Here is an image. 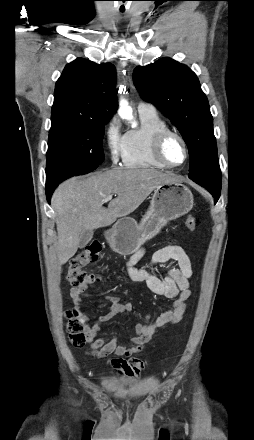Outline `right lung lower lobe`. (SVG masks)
I'll return each instance as SVG.
<instances>
[{
    "instance_id": "1",
    "label": "right lung lower lobe",
    "mask_w": 254,
    "mask_h": 440,
    "mask_svg": "<svg viewBox=\"0 0 254 440\" xmlns=\"http://www.w3.org/2000/svg\"><path fill=\"white\" fill-rule=\"evenodd\" d=\"M57 185L58 184H54V185H51V186H46V196H47V200H48L49 203H50L51 195H52V193H53V191H54V189L56 188Z\"/></svg>"
}]
</instances>
